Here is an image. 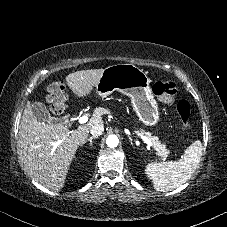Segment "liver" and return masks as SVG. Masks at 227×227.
<instances>
[{
  "instance_id": "liver-1",
  "label": "liver",
  "mask_w": 227,
  "mask_h": 227,
  "mask_svg": "<svg viewBox=\"0 0 227 227\" xmlns=\"http://www.w3.org/2000/svg\"><path fill=\"white\" fill-rule=\"evenodd\" d=\"M104 69L76 71L66 76L75 96L84 98L92 93ZM103 108H96L90 120L70 132L62 124L38 121L27 102L19 126L18 149L28 174L53 191L63 188L69 166L78 147L88 137L95 124H103Z\"/></svg>"
}]
</instances>
